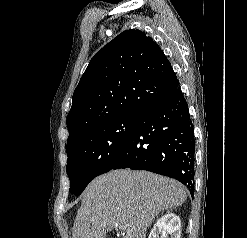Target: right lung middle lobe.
Masks as SVG:
<instances>
[{
	"label": "right lung middle lobe",
	"instance_id": "1",
	"mask_svg": "<svg viewBox=\"0 0 247 238\" xmlns=\"http://www.w3.org/2000/svg\"><path fill=\"white\" fill-rule=\"evenodd\" d=\"M139 118L140 114L115 118L87 130L67 144L70 193L81 194L92 179L111 169Z\"/></svg>",
	"mask_w": 247,
	"mask_h": 238
}]
</instances>
